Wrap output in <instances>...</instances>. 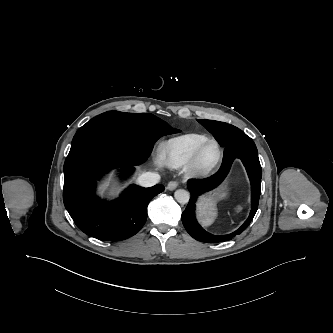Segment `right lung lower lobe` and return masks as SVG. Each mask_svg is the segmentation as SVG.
<instances>
[{
    "mask_svg": "<svg viewBox=\"0 0 333 333\" xmlns=\"http://www.w3.org/2000/svg\"><path fill=\"white\" fill-rule=\"evenodd\" d=\"M147 155L102 135H90L71 144L64 164V205L77 227L99 240L119 241L135 235L147 219V205L163 185H131L110 203L95 195L96 180L114 168L130 174Z\"/></svg>",
    "mask_w": 333,
    "mask_h": 333,
    "instance_id": "1",
    "label": "right lung lower lobe"
}]
</instances>
